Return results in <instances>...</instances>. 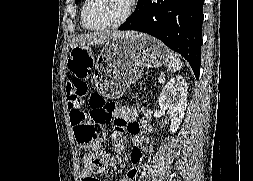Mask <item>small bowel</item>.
I'll return each instance as SVG.
<instances>
[{
	"label": "small bowel",
	"instance_id": "obj_1",
	"mask_svg": "<svg viewBox=\"0 0 253 181\" xmlns=\"http://www.w3.org/2000/svg\"><path fill=\"white\" fill-rule=\"evenodd\" d=\"M92 67V59L88 53H81L79 59L78 72L73 74L72 79L68 82L72 84L75 92L87 93V78ZM136 111L127 107H119L115 112L114 129L111 132V138L114 144L119 147L121 145L120 139L129 133L134 136V148L131 152V166L129 167L126 175L118 181H135L138 172L143 164L144 154L143 150L151 151L149 143L145 142L142 138L140 128L136 122ZM114 165V161H110L108 166ZM82 181H97L92 171L84 168L82 171Z\"/></svg>",
	"mask_w": 253,
	"mask_h": 181
}]
</instances>
